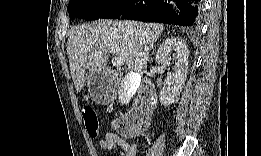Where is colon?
Wrapping results in <instances>:
<instances>
[{
	"instance_id": "obj_1",
	"label": "colon",
	"mask_w": 261,
	"mask_h": 156,
	"mask_svg": "<svg viewBox=\"0 0 261 156\" xmlns=\"http://www.w3.org/2000/svg\"><path fill=\"white\" fill-rule=\"evenodd\" d=\"M82 117L91 137L96 138L99 135V122L95 111L90 107H85L82 110ZM147 121L135 124L133 128H128L124 122H116L115 127L125 135H131L144 130Z\"/></svg>"
}]
</instances>
